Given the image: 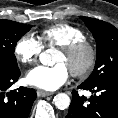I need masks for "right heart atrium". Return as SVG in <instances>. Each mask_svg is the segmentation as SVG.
Instances as JSON below:
<instances>
[{"mask_svg":"<svg viewBox=\"0 0 118 118\" xmlns=\"http://www.w3.org/2000/svg\"><path fill=\"white\" fill-rule=\"evenodd\" d=\"M42 51V44L31 33L22 35L14 46L15 58L23 64L35 63Z\"/></svg>","mask_w":118,"mask_h":118,"instance_id":"d8ad5b80","label":"right heart atrium"}]
</instances>
